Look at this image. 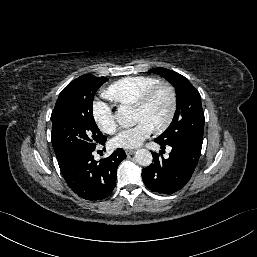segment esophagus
Instances as JSON below:
<instances>
[{"label": "esophagus", "mask_w": 257, "mask_h": 257, "mask_svg": "<svg viewBox=\"0 0 257 257\" xmlns=\"http://www.w3.org/2000/svg\"><path fill=\"white\" fill-rule=\"evenodd\" d=\"M125 152L127 155H132L134 153V151L130 149H126Z\"/></svg>", "instance_id": "esophagus-1"}]
</instances>
